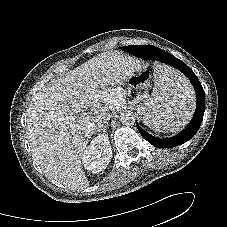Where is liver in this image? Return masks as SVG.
<instances>
[{
    "label": "liver",
    "instance_id": "6515ba94",
    "mask_svg": "<svg viewBox=\"0 0 227 227\" xmlns=\"http://www.w3.org/2000/svg\"><path fill=\"white\" fill-rule=\"evenodd\" d=\"M135 67L119 52L101 53L35 94L27 110V138L48 177L73 190L89 186L82 154L92 134L104 128H95L97 120L122 103L123 94L110 88L122 85Z\"/></svg>",
    "mask_w": 227,
    "mask_h": 227
}]
</instances>
